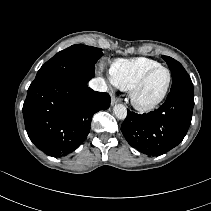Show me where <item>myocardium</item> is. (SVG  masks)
I'll return each mask as SVG.
<instances>
[{"label":"myocardium","instance_id":"obj_1","mask_svg":"<svg viewBox=\"0 0 211 211\" xmlns=\"http://www.w3.org/2000/svg\"><path fill=\"white\" fill-rule=\"evenodd\" d=\"M159 69L166 70L168 74V80H167L166 86L164 90L162 91V93L159 95V97H157L155 100L151 102H143L140 98L141 92L148 78L151 76V74ZM171 82H172V74L169 68L163 65H158L147 70L139 79V81L135 84V86L131 89L130 99H131L132 105L134 106L135 109H137L140 112L147 113V112L154 111L163 103V101L167 97L170 86H171Z\"/></svg>","mask_w":211,"mask_h":211}]
</instances>
